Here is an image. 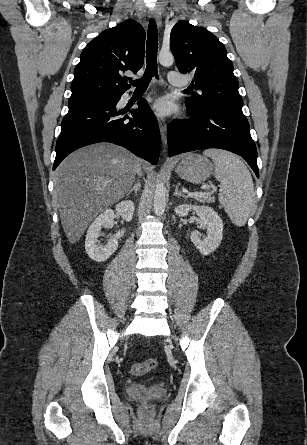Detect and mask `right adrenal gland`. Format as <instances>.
<instances>
[{
    "instance_id": "right-adrenal-gland-1",
    "label": "right adrenal gland",
    "mask_w": 307,
    "mask_h": 445,
    "mask_svg": "<svg viewBox=\"0 0 307 445\" xmlns=\"http://www.w3.org/2000/svg\"><path fill=\"white\" fill-rule=\"evenodd\" d=\"M140 188H141L140 182H135L134 186H132L131 190H129V192H127L126 196H128V194H131V192H135V194H137V192H139Z\"/></svg>"
}]
</instances>
